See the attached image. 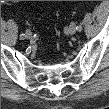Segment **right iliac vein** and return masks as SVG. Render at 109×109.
<instances>
[{"label": "right iliac vein", "mask_w": 109, "mask_h": 109, "mask_svg": "<svg viewBox=\"0 0 109 109\" xmlns=\"http://www.w3.org/2000/svg\"><path fill=\"white\" fill-rule=\"evenodd\" d=\"M31 37H32L31 31L27 30L26 33H25V38L30 39Z\"/></svg>", "instance_id": "right-iliac-vein-1"}]
</instances>
